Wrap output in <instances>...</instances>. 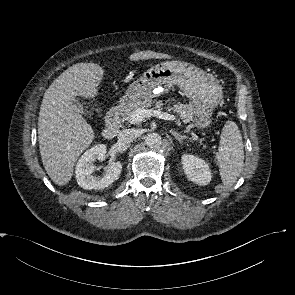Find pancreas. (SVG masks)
Masks as SVG:
<instances>
[{"label": "pancreas", "mask_w": 295, "mask_h": 295, "mask_svg": "<svg viewBox=\"0 0 295 295\" xmlns=\"http://www.w3.org/2000/svg\"><path fill=\"white\" fill-rule=\"evenodd\" d=\"M153 104H155V109L157 110H161L162 106H163V101L162 100H152V99H144V100H140L138 102H135L131 105H129L128 108H126L124 110V112L121 114V121L124 122H129L132 123L131 120V115L132 113L141 108V109H148L149 107H151ZM169 110H173V112L179 114L180 119L184 122V123H188L190 121L193 120L194 118V112L195 109L193 107V105L191 103L189 104H183L181 102H178L177 104L173 105L172 107L168 108Z\"/></svg>", "instance_id": "pancreas-1"}]
</instances>
